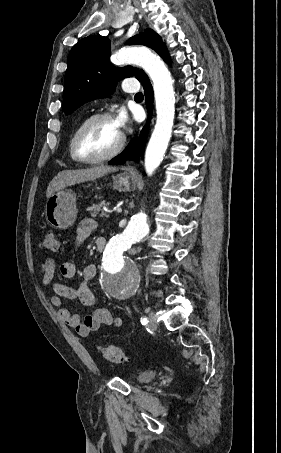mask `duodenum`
Here are the masks:
<instances>
[{"mask_svg":"<svg viewBox=\"0 0 281 453\" xmlns=\"http://www.w3.org/2000/svg\"><path fill=\"white\" fill-rule=\"evenodd\" d=\"M106 246V240L104 238H99L96 241V249L98 252H103Z\"/></svg>","mask_w":281,"mask_h":453,"instance_id":"410a0bca","label":"duodenum"}]
</instances>
